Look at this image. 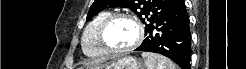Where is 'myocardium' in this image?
<instances>
[{"instance_id":"obj_1","label":"myocardium","mask_w":246,"mask_h":69,"mask_svg":"<svg viewBox=\"0 0 246 69\" xmlns=\"http://www.w3.org/2000/svg\"><path fill=\"white\" fill-rule=\"evenodd\" d=\"M127 19L129 21H131L137 31V37L136 40L128 47L123 48V49H116V48H112L105 40V34L107 29L109 28V26L117 19ZM98 41L101 45V47L108 52L109 54L112 55H122L124 53H127L131 50H134L135 48H137L143 41L144 39V29H143V25L141 23V21L134 15L130 14V13H121V12H117V13H111L109 16H107L101 23L99 29H98Z\"/></svg>"}]
</instances>
